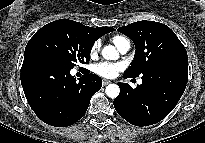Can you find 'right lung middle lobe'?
<instances>
[{"instance_id":"right-lung-middle-lobe-1","label":"right lung middle lobe","mask_w":205,"mask_h":143,"mask_svg":"<svg viewBox=\"0 0 205 143\" xmlns=\"http://www.w3.org/2000/svg\"><path fill=\"white\" fill-rule=\"evenodd\" d=\"M94 42L78 22L60 19L37 31L27 43L25 52H42L73 68L77 63L89 62Z\"/></svg>"}]
</instances>
